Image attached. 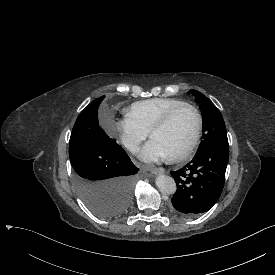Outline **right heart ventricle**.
Here are the masks:
<instances>
[{
  "mask_svg": "<svg viewBox=\"0 0 275 275\" xmlns=\"http://www.w3.org/2000/svg\"><path fill=\"white\" fill-rule=\"evenodd\" d=\"M183 104H186V102L174 98H153L140 101L129 107L127 117L131 118L146 131L150 132L152 127L171 109Z\"/></svg>",
  "mask_w": 275,
  "mask_h": 275,
  "instance_id": "1",
  "label": "right heart ventricle"
}]
</instances>
